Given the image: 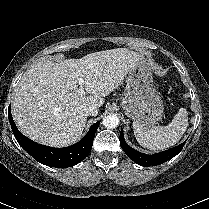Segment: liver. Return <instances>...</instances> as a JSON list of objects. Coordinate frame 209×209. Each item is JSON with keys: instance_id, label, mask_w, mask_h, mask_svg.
<instances>
[{"instance_id": "obj_1", "label": "liver", "mask_w": 209, "mask_h": 209, "mask_svg": "<svg viewBox=\"0 0 209 209\" xmlns=\"http://www.w3.org/2000/svg\"><path fill=\"white\" fill-rule=\"evenodd\" d=\"M143 55L115 48L33 65L20 80L12 102V115L22 134L42 145L65 147L82 135L84 108H99L104 98L122 84L129 69ZM89 95L78 94V79Z\"/></svg>"}]
</instances>
